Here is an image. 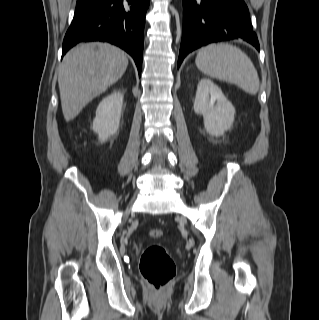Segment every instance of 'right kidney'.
Segmentation results:
<instances>
[{"label":"right kidney","instance_id":"obj_1","mask_svg":"<svg viewBox=\"0 0 319 320\" xmlns=\"http://www.w3.org/2000/svg\"><path fill=\"white\" fill-rule=\"evenodd\" d=\"M123 106V94L114 92L103 98L96 110L93 120V131L98 134L99 141L105 142L119 128Z\"/></svg>","mask_w":319,"mask_h":320}]
</instances>
